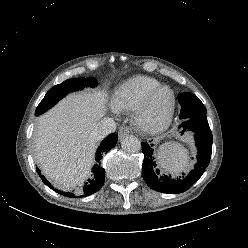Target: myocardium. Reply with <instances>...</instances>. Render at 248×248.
<instances>
[{"instance_id": "f54148a6", "label": "myocardium", "mask_w": 248, "mask_h": 248, "mask_svg": "<svg viewBox=\"0 0 248 248\" xmlns=\"http://www.w3.org/2000/svg\"><path fill=\"white\" fill-rule=\"evenodd\" d=\"M167 90L170 93V104L164 115V117L157 122H150L145 118L146 112L152 104L155 97L162 91ZM176 108V94L174 90L167 85H161L152 92H150L143 101L133 110V120L135 125L142 131L147 133H158L166 129L174 115Z\"/></svg>"}]
</instances>
